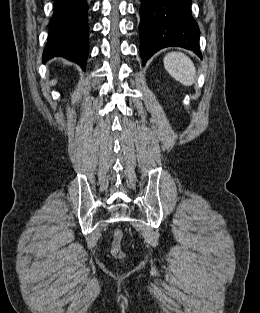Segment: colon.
I'll return each instance as SVG.
<instances>
[{"label": "colon", "instance_id": "colon-1", "mask_svg": "<svg viewBox=\"0 0 260 313\" xmlns=\"http://www.w3.org/2000/svg\"><path fill=\"white\" fill-rule=\"evenodd\" d=\"M123 239V232L120 229H115L113 232V240L111 243V254L117 259H124L125 253L122 249L121 242Z\"/></svg>", "mask_w": 260, "mask_h": 313}]
</instances>
